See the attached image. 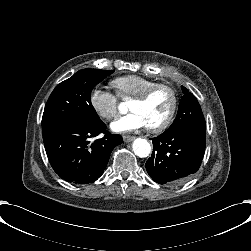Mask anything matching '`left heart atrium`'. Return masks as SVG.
Returning a JSON list of instances; mask_svg holds the SVG:
<instances>
[{"mask_svg": "<svg viewBox=\"0 0 251 251\" xmlns=\"http://www.w3.org/2000/svg\"><path fill=\"white\" fill-rule=\"evenodd\" d=\"M149 126L145 115L139 110H133L128 114L120 115L111 123L115 132L126 133Z\"/></svg>", "mask_w": 251, "mask_h": 251, "instance_id": "obj_1", "label": "left heart atrium"}]
</instances>
